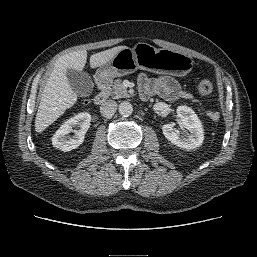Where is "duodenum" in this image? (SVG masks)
Listing matches in <instances>:
<instances>
[{"label": "duodenum", "instance_id": "duodenum-1", "mask_svg": "<svg viewBox=\"0 0 257 257\" xmlns=\"http://www.w3.org/2000/svg\"><path fill=\"white\" fill-rule=\"evenodd\" d=\"M109 82H110V80L108 78H103V79L97 80L99 92L94 97L95 104L102 105L106 101V99L108 97L107 89L109 86Z\"/></svg>", "mask_w": 257, "mask_h": 257}]
</instances>
